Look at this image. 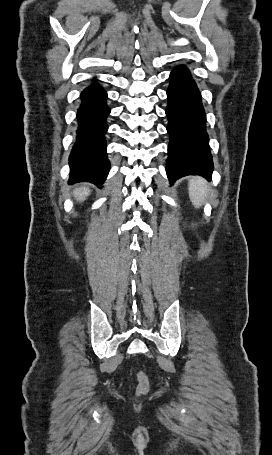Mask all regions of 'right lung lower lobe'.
<instances>
[{
  "label": "right lung lower lobe",
  "instance_id": "98d812e1",
  "mask_svg": "<svg viewBox=\"0 0 272 455\" xmlns=\"http://www.w3.org/2000/svg\"><path fill=\"white\" fill-rule=\"evenodd\" d=\"M106 98V91L96 83L81 93L76 143L69 157L70 183L89 181L101 186L109 172L104 138L110 113Z\"/></svg>",
  "mask_w": 272,
  "mask_h": 455
}]
</instances>
